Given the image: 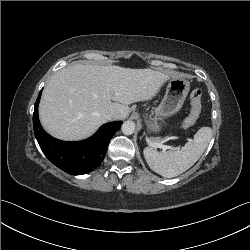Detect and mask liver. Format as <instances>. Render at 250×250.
I'll list each match as a JSON object with an SVG mask.
<instances>
[{
    "instance_id": "liver-1",
    "label": "liver",
    "mask_w": 250,
    "mask_h": 250,
    "mask_svg": "<svg viewBox=\"0 0 250 250\" xmlns=\"http://www.w3.org/2000/svg\"><path fill=\"white\" fill-rule=\"evenodd\" d=\"M178 75L150 68L75 64L56 72L44 88L39 117L44 129L63 140L90 136L108 121L126 118L128 105L152 99L162 85Z\"/></svg>"
}]
</instances>
